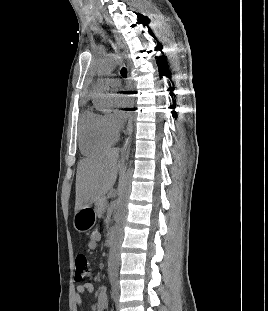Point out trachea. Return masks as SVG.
I'll return each instance as SVG.
<instances>
[{
  "label": "trachea",
  "instance_id": "1",
  "mask_svg": "<svg viewBox=\"0 0 268 311\" xmlns=\"http://www.w3.org/2000/svg\"><path fill=\"white\" fill-rule=\"evenodd\" d=\"M120 73H121V76H122L123 78H126V77H127V69H126L125 67H123V68L121 69Z\"/></svg>",
  "mask_w": 268,
  "mask_h": 311
}]
</instances>
